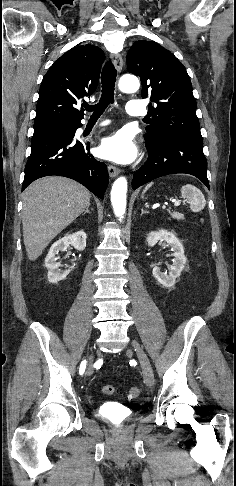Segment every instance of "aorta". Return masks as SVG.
I'll return each instance as SVG.
<instances>
[{"label":"aorta","mask_w":236,"mask_h":486,"mask_svg":"<svg viewBox=\"0 0 236 486\" xmlns=\"http://www.w3.org/2000/svg\"><path fill=\"white\" fill-rule=\"evenodd\" d=\"M119 89L124 93H133L139 89L140 83L135 76H123L119 80ZM127 180L119 177L115 180L111 190V203L115 215L123 218L126 211Z\"/></svg>","instance_id":"1"}]
</instances>
